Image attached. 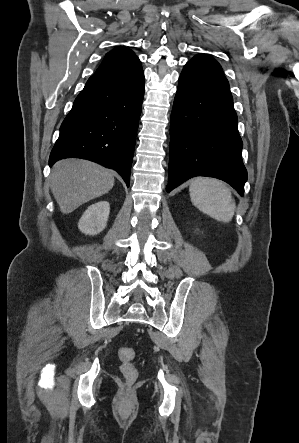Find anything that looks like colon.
Wrapping results in <instances>:
<instances>
[{"mask_svg":"<svg viewBox=\"0 0 299 443\" xmlns=\"http://www.w3.org/2000/svg\"><path fill=\"white\" fill-rule=\"evenodd\" d=\"M135 357L134 349L131 347H122L119 350V359L121 361V372L124 377L129 381L133 382L138 376L137 369L133 364Z\"/></svg>","mask_w":299,"mask_h":443,"instance_id":"5ec220e1","label":"colon"}]
</instances>
